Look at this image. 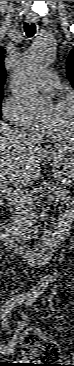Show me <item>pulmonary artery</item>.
<instances>
[{
    "label": "pulmonary artery",
    "mask_w": 74,
    "mask_h": 366,
    "mask_svg": "<svg viewBox=\"0 0 74 366\" xmlns=\"http://www.w3.org/2000/svg\"><path fill=\"white\" fill-rule=\"evenodd\" d=\"M58 76L53 70H45L38 78L36 86L42 92H50L57 88Z\"/></svg>",
    "instance_id": "e3ab8cb5"
}]
</instances>
